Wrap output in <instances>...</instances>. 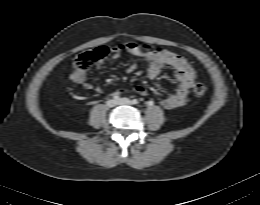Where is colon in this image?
I'll use <instances>...</instances> for the list:
<instances>
[{"label": "colon", "mask_w": 260, "mask_h": 205, "mask_svg": "<svg viewBox=\"0 0 260 205\" xmlns=\"http://www.w3.org/2000/svg\"><path fill=\"white\" fill-rule=\"evenodd\" d=\"M140 48L144 51H154L157 53L165 51L162 48H153L152 46L149 45H140ZM107 52H108L107 48L104 46H99L92 50L83 52L76 57L74 61V66L78 70L85 71L88 68H90L93 64L98 62L99 60L105 58ZM206 92H207V86L204 83L198 82L192 86V93L195 96L201 97L205 95Z\"/></svg>", "instance_id": "obj_1"}]
</instances>
